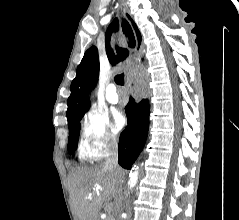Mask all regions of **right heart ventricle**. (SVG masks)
I'll list each match as a JSON object with an SVG mask.
<instances>
[{"mask_svg":"<svg viewBox=\"0 0 239 220\" xmlns=\"http://www.w3.org/2000/svg\"><path fill=\"white\" fill-rule=\"evenodd\" d=\"M79 155H80L81 158H87L86 152L84 151L83 148L80 149Z\"/></svg>","mask_w":239,"mask_h":220,"instance_id":"e07e8e85","label":"right heart ventricle"}]
</instances>
